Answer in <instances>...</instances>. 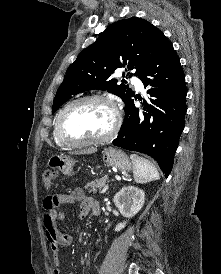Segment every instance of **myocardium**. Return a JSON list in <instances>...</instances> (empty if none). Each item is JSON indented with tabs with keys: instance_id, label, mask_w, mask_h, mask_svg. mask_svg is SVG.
<instances>
[{
	"instance_id": "myocardium-1",
	"label": "myocardium",
	"mask_w": 221,
	"mask_h": 274,
	"mask_svg": "<svg viewBox=\"0 0 221 274\" xmlns=\"http://www.w3.org/2000/svg\"><path fill=\"white\" fill-rule=\"evenodd\" d=\"M87 102H100L108 105L111 108L114 115L113 124L110 130L101 137L92 138V139H72L68 137L64 131L65 116L76 105L87 103ZM121 123H122L121 110L118 104L113 99L103 95H90V96H84V97L75 99L71 101L69 104H67L58 115L56 129H57L58 137L64 144L72 147H81V146L101 144L111 140L119 131Z\"/></svg>"
}]
</instances>
